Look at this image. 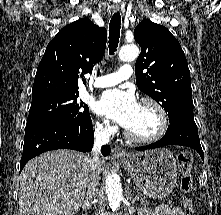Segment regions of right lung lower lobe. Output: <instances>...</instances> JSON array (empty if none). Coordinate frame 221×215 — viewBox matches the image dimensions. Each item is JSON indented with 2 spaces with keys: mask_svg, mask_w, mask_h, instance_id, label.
<instances>
[{
  "mask_svg": "<svg viewBox=\"0 0 221 215\" xmlns=\"http://www.w3.org/2000/svg\"><path fill=\"white\" fill-rule=\"evenodd\" d=\"M93 126L91 118L85 123L68 125L46 122L26 126L20 170L33 157L55 149H74L90 152L93 146ZM109 146L102 147V154H110Z\"/></svg>",
  "mask_w": 221,
  "mask_h": 215,
  "instance_id": "98d812e1",
  "label": "right lung lower lobe"
}]
</instances>
